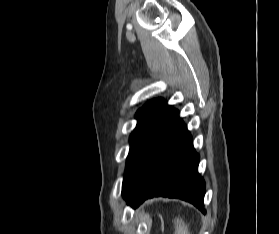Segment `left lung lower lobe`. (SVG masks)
Listing matches in <instances>:
<instances>
[{"label": "left lung lower lobe", "instance_id": "0a47b994", "mask_svg": "<svg viewBox=\"0 0 279 234\" xmlns=\"http://www.w3.org/2000/svg\"><path fill=\"white\" fill-rule=\"evenodd\" d=\"M199 155L178 111L162 102L135 155L122 195L138 207L154 196L180 198L204 211L205 182Z\"/></svg>", "mask_w": 279, "mask_h": 234}]
</instances>
